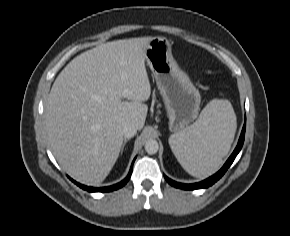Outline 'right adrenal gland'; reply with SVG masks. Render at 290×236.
Masks as SVG:
<instances>
[{"label": "right adrenal gland", "instance_id": "obj_1", "mask_svg": "<svg viewBox=\"0 0 290 236\" xmlns=\"http://www.w3.org/2000/svg\"><path fill=\"white\" fill-rule=\"evenodd\" d=\"M129 141V139H125L124 140V143H123V145H122V149H121V155H122V153H123V150H124V147H125V145H126V143Z\"/></svg>", "mask_w": 290, "mask_h": 236}]
</instances>
